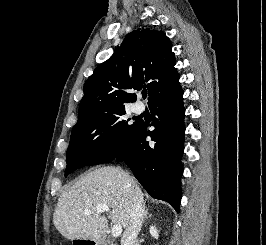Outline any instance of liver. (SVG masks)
I'll list each match as a JSON object with an SVG mask.
<instances>
[{
  "label": "liver",
  "instance_id": "6515ba94",
  "mask_svg": "<svg viewBox=\"0 0 266 245\" xmlns=\"http://www.w3.org/2000/svg\"><path fill=\"white\" fill-rule=\"evenodd\" d=\"M129 187H138L134 177L119 167H101L78 179L58 199L53 215L54 227L65 239L98 241L108 231V221L97 213V205L112 209L113 225L128 227L130 219ZM90 209V213H84Z\"/></svg>",
  "mask_w": 266,
  "mask_h": 245
}]
</instances>
